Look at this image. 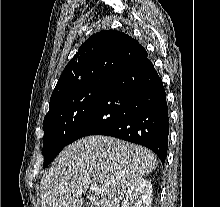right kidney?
<instances>
[{
  "label": "right kidney",
  "mask_w": 220,
  "mask_h": 207,
  "mask_svg": "<svg viewBox=\"0 0 220 207\" xmlns=\"http://www.w3.org/2000/svg\"><path fill=\"white\" fill-rule=\"evenodd\" d=\"M152 184L149 180L139 178L125 194L121 207H151Z\"/></svg>",
  "instance_id": "1"
}]
</instances>
